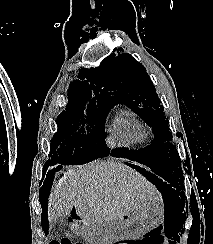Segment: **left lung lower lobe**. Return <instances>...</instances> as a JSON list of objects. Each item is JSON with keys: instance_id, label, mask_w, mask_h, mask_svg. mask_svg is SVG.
<instances>
[{"instance_id": "0a47b994", "label": "left lung lower lobe", "mask_w": 213, "mask_h": 244, "mask_svg": "<svg viewBox=\"0 0 213 244\" xmlns=\"http://www.w3.org/2000/svg\"><path fill=\"white\" fill-rule=\"evenodd\" d=\"M150 168L153 169L156 173H158L157 170H156L155 168H153V167H150ZM151 175H153V174H151ZM153 176H154L159 182L167 184L166 182H163L162 179H159V178L156 177L155 175H153Z\"/></svg>"}]
</instances>
